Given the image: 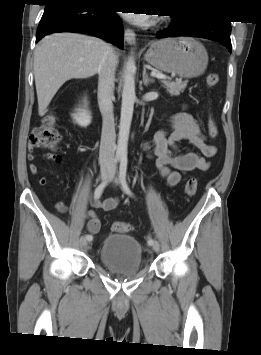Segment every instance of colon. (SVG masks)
Instances as JSON below:
<instances>
[{
	"label": "colon",
	"mask_w": 261,
	"mask_h": 355,
	"mask_svg": "<svg viewBox=\"0 0 261 355\" xmlns=\"http://www.w3.org/2000/svg\"><path fill=\"white\" fill-rule=\"evenodd\" d=\"M218 82V75L215 73L209 74L206 79V84L209 87L216 85ZM208 134L212 139L217 137V128L214 119L211 114L207 120ZM62 141V135L55 125V122L47 118L39 126L34 128L30 135V143L35 148L43 149H55ZM197 180L195 178H189L185 183V195L192 197L197 191ZM133 227L129 223L114 222L111 226V230L114 233H128L132 231Z\"/></svg>",
	"instance_id": "1"
}]
</instances>
